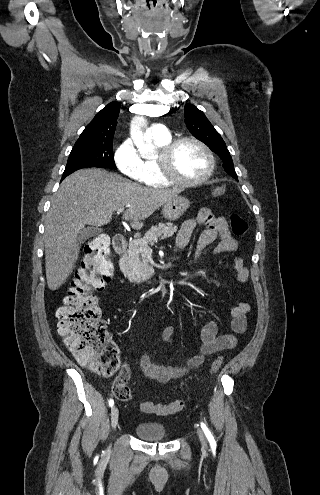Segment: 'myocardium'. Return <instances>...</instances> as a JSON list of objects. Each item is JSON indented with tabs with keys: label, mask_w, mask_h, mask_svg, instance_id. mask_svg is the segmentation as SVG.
Wrapping results in <instances>:
<instances>
[{
	"label": "myocardium",
	"mask_w": 320,
	"mask_h": 495,
	"mask_svg": "<svg viewBox=\"0 0 320 495\" xmlns=\"http://www.w3.org/2000/svg\"><path fill=\"white\" fill-rule=\"evenodd\" d=\"M185 142H192L196 144L206 155L208 159V170L200 178L197 179H185L177 175V173L174 170L173 167V157L176 149L183 143ZM157 164L159 167V171L161 175L170 183L176 184V185H181V186H197L204 184L207 182L212 176L215 171V157L210 150V148L203 143L201 140H199L196 137L193 136H183L179 137L176 139L171 140L169 143L164 145L157 157Z\"/></svg>",
	"instance_id": "obj_1"
}]
</instances>
